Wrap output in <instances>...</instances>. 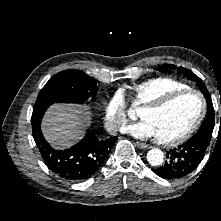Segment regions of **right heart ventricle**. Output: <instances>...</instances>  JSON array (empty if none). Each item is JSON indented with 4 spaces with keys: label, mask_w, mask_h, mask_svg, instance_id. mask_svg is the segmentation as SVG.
I'll return each instance as SVG.
<instances>
[{
    "label": "right heart ventricle",
    "mask_w": 221,
    "mask_h": 221,
    "mask_svg": "<svg viewBox=\"0 0 221 221\" xmlns=\"http://www.w3.org/2000/svg\"><path fill=\"white\" fill-rule=\"evenodd\" d=\"M184 88H188V85L174 78L156 77L132 86L129 94L134 104L144 106L171 91Z\"/></svg>",
    "instance_id": "e07e8e85"
}]
</instances>
